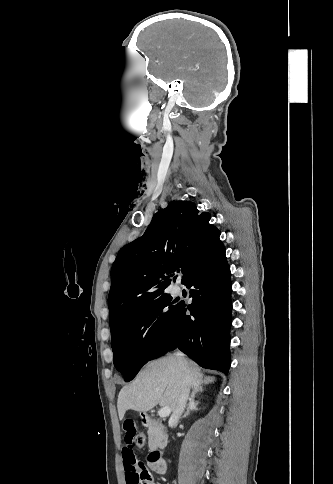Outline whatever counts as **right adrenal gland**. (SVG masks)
<instances>
[{
  "label": "right adrenal gland",
  "instance_id": "1",
  "mask_svg": "<svg viewBox=\"0 0 333 484\" xmlns=\"http://www.w3.org/2000/svg\"><path fill=\"white\" fill-rule=\"evenodd\" d=\"M198 392L199 391H193L191 393V395L189 397V403H188V406H187V410L184 413V415L182 416V418H186L190 414L191 411L199 410V408H198L199 402L195 401V396ZM200 392H202V390Z\"/></svg>",
  "mask_w": 333,
  "mask_h": 484
}]
</instances>
